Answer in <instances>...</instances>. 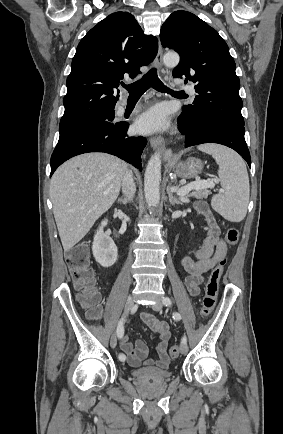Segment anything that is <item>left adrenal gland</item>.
Returning <instances> with one entry per match:
<instances>
[{
	"label": "left adrenal gland",
	"instance_id": "a2214340",
	"mask_svg": "<svg viewBox=\"0 0 283 434\" xmlns=\"http://www.w3.org/2000/svg\"><path fill=\"white\" fill-rule=\"evenodd\" d=\"M170 185L171 184H169V186L167 187V194H168V197H169V203L172 205V206H174L175 204H183L182 202H180V201H178L174 196H173V194H172V192H171V190H170Z\"/></svg>",
	"mask_w": 283,
	"mask_h": 434
}]
</instances>
